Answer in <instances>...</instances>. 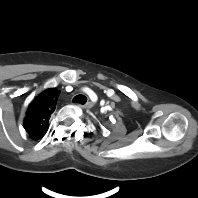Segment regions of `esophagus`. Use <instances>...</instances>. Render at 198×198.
<instances>
[{
	"label": "esophagus",
	"mask_w": 198,
	"mask_h": 198,
	"mask_svg": "<svg viewBox=\"0 0 198 198\" xmlns=\"http://www.w3.org/2000/svg\"><path fill=\"white\" fill-rule=\"evenodd\" d=\"M79 106H81V107L84 108V109H89V108H91V107L93 106V103H92V102H87V103L84 104V105H80V104H79Z\"/></svg>",
	"instance_id": "34e87169"
}]
</instances>
